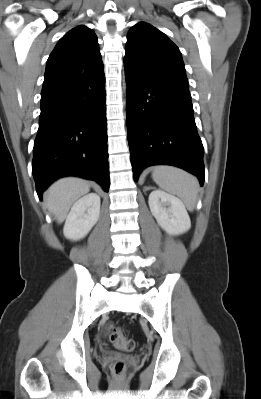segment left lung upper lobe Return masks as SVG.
I'll use <instances>...</instances> for the list:
<instances>
[{
	"mask_svg": "<svg viewBox=\"0 0 261 399\" xmlns=\"http://www.w3.org/2000/svg\"><path fill=\"white\" fill-rule=\"evenodd\" d=\"M124 61L125 69L144 80L189 87L178 47L146 22H139L129 30Z\"/></svg>",
	"mask_w": 261,
	"mask_h": 399,
	"instance_id": "5c2ea615",
	"label": "left lung upper lobe"
}]
</instances>
